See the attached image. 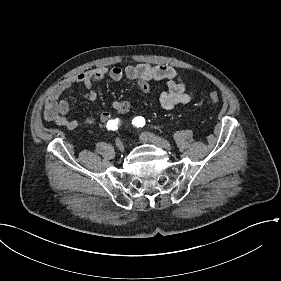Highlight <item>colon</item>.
Wrapping results in <instances>:
<instances>
[{"label": "colon", "instance_id": "1", "mask_svg": "<svg viewBox=\"0 0 281 281\" xmlns=\"http://www.w3.org/2000/svg\"><path fill=\"white\" fill-rule=\"evenodd\" d=\"M208 99H209V102L212 103V104H217L221 101V97L217 93H211L209 95Z\"/></svg>", "mask_w": 281, "mask_h": 281}]
</instances>
